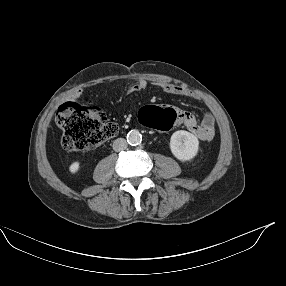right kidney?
<instances>
[{
    "mask_svg": "<svg viewBox=\"0 0 286 286\" xmlns=\"http://www.w3.org/2000/svg\"><path fill=\"white\" fill-rule=\"evenodd\" d=\"M79 169H80V163L79 162H73L69 167L70 172L73 174L78 172Z\"/></svg>",
    "mask_w": 286,
    "mask_h": 286,
    "instance_id": "right-kidney-1",
    "label": "right kidney"
}]
</instances>
